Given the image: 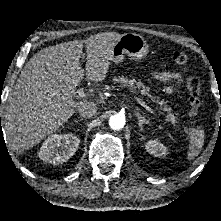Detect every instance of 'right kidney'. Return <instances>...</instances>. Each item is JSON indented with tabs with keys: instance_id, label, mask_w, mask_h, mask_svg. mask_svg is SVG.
Returning <instances> with one entry per match:
<instances>
[{
	"instance_id": "right-kidney-1",
	"label": "right kidney",
	"mask_w": 221,
	"mask_h": 221,
	"mask_svg": "<svg viewBox=\"0 0 221 221\" xmlns=\"http://www.w3.org/2000/svg\"><path fill=\"white\" fill-rule=\"evenodd\" d=\"M79 143L80 139L72 134H53L43 142L38 156L50 164L64 163L75 154Z\"/></svg>"
}]
</instances>
